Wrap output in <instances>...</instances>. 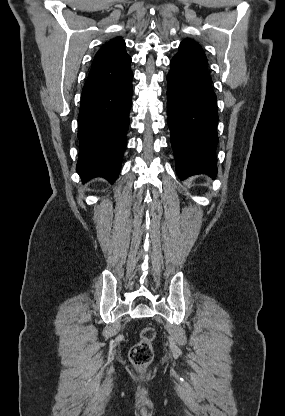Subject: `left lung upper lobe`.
I'll list each match as a JSON object with an SVG mask.
<instances>
[{
  "instance_id": "left-lung-upper-lobe-1",
  "label": "left lung upper lobe",
  "mask_w": 285,
  "mask_h": 416,
  "mask_svg": "<svg viewBox=\"0 0 285 416\" xmlns=\"http://www.w3.org/2000/svg\"><path fill=\"white\" fill-rule=\"evenodd\" d=\"M183 58L207 70V59L200 45L191 39L181 42L179 52L174 56Z\"/></svg>"
}]
</instances>
